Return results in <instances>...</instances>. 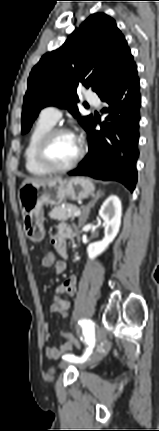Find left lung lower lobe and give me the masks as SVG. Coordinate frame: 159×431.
<instances>
[{"label": "left lung lower lobe", "mask_w": 159, "mask_h": 431, "mask_svg": "<svg viewBox=\"0 0 159 431\" xmlns=\"http://www.w3.org/2000/svg\"><path fill=\"white\" fill-rule=\"evenodd\" d=\"M140 85L133 62L99 97L106 102V116L95 131L94 121L87 128L89 152L69 175H85L115 180L133 191L137 182Z\"/></svg>", "instance_id": "left-lung-lower-lobe-1"}]
</instances>
